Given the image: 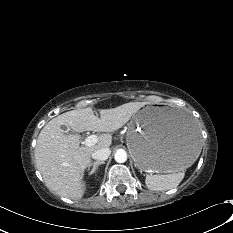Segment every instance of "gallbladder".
<instances>
[{"mask_svg": "<svg viewBox=\"0 0 233 233\" xmlns=\"http://www.w3.org/2000/svg\"><path fill=\"white\" fill-rule=\"evenodd\" d=\"M61 128L63 129V130H66V131H68L69 130V128L68 127H66V126H61Z\"/></svg>", "mask_w": 233, "mask_h": 233, "instance_id": "gallbladder-1", "label": "gallbladder"}]
</instances>
